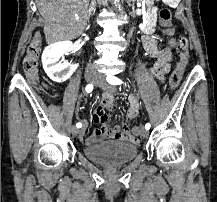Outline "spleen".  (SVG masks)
Wrapping results in <instances>:
<instances>
[{"mask_svg":"<svg viewBox=\"0 0 217 202\" xmlns=\"http://www.w3.org/2000/svg\"><path fill=\"white\" fill-rule=\"evenodd\" d=\"M165 5H168V7H179V0H165Z\"/></svg>","mask_w":217,"mask_h":202,"instance_id":"spleen-1","label":"spleen"}]
</instances>
